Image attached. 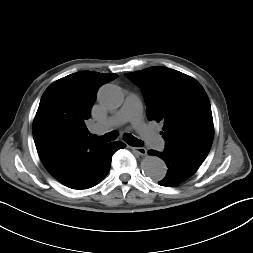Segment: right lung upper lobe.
I'll return each mask as SVG.
<instances>
[{"label": "right lung upper lobe", "instance_id": "cb5924a9", "mask_svg": "<svg viewBox=\"0 0 253 253\" xmlns=\"http://www.w3.org/2000/svg\"><path fill=\"white\" fill-rule=\"evenodd\" d=\"M118 77L81 71L53 82L42 95L33 121V138L47 171L59 182L77 188L93 178L104 144L88 138L100 86Z\"/></svg>", "mask_w": 253, "mask_h": 253}]
</instances>
